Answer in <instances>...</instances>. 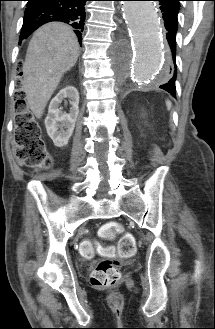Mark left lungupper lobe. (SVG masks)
I'll use <instances>...</instances> for the list:
<instances>
[{"label": "left lung upper lobe", "mask_w": 215, "mask_h": 329, "mask_svg": "<svg viewBox=\"0 0 215 329\" xmlns=\"http://www.w3.org/2000/svg\"><path fill=\"white\" fill-rule=\"evenodd\" d=\"M173 1L179 5V1L181 0H173Z\"/></svg>", "instance_id": "obj_1"}]
</instances>
